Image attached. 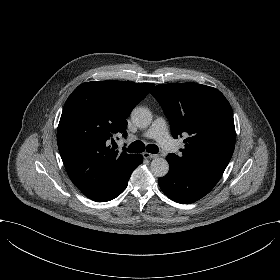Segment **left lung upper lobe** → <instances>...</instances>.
Masks as SVG:
<instances>
[{
    "label": "left lung upper lobe",
    "instance_id": "left-lung-upper-lobe-1",
    "mask_svg": "<svg viewBox=\"0 0 280 280\" xmlns=\"http://www.w3.org/2000/svg\"><path fill=\"white\" fill-rule=\"evenodd\" d=\"M168 118L174 138L187 133L174 156L188 166L224 172L235 147L232 108L217 89L197 83L162 84L151 91Z\"/></svg>",
    "mask_w": 280,
    "mask_h": 280
}]
</instances>
